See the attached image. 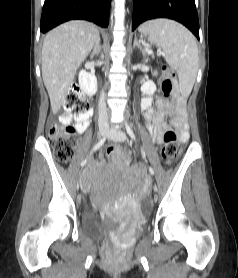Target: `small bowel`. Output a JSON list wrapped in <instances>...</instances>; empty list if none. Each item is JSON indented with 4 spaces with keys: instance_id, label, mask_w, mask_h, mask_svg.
Here are the masks:
<instances>
[{
    "instance_id": "c3829d8e",
    "label": "small bowel",
    "mask_w": 238,
    "mask_h": 278,
    "mask_svg": "<svg viewBox=\"0 0 238 278\" xmlns=\"http://www.w3.org/2000/svg\"><path fill=\"white\" fill-rule=\"evenodd\" d=\"M143 117L147 123L152 140L156 143H162L168 127L165 123L167 116H173L172 124L176 128L178 136L182 142L188 140V126L185 116V96L179 95L173 98H159L156 107H152V98L145 97L141 102ZM92 111L74 117L75 127L79 133H84L90 125ZM72 121V115L64 113L59 116V122L62 125H69ZM121 167L128 166V160Z\"/></svg>"
}]
</instances>
